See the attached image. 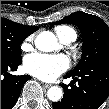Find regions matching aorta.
Wrapping results in <instances>:
<instances>
[{"instance_id":"aorta-1","label":"aorta","mask_w":109,"mask_h":109,"mask_svg":"<svg viewBox=\"0 0 109 109\" xmlns=\"http://www.w3.org/2000/svg\"><path fill=\"white\" fill-rule=\"evenodd\" d=\"M35 46L40 51L51 52L57 49L58 42L56 36L52 32L43 31L36 37ZM47 96L49 100L57 102L63 96L62 89L58 86H52L48 89Z\"/></svg>"}]
</instances>
